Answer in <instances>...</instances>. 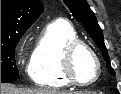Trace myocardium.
Here are the masks:
<instances>
[{
    "instance_id": "myocardium-1",
    "label": "myocardium",
    "mask_w": 121,
    "mask_h": 94,
    "mask_svg": "<svg viewBox=\"0 0 121 94\" xmlns=\"http://www.w3.org/2000/svg\"><path fill=\"white\" fill-rule=\"evenodd\" d=\"M85 48L90 52V54L93 56L96 64H97V74L96 77L89 81V82H82L80 81L77 76L75 75L74 68H73V61L74 56L79 48ZM62 71L65 78L74 85L77 86H89L93 83H95L102 73V62L100 57L98 56L97 52L93 49L92 46H90L88 43L81 39H74L66 44L63 50L62 54Z\"/></svg>"
}]
</instances>
